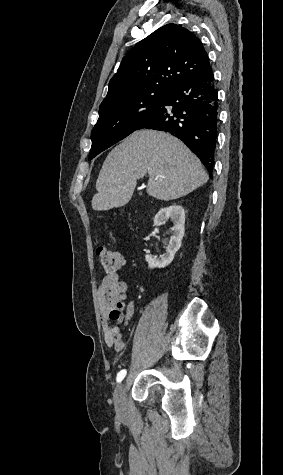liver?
I'll use <instances>...</instances> for the list:
<instances>
[{"label": "liver", "instance_id": "6515ba94", "mask_svg": "<svg viewBox=\"0 0 283 475\" xmlns=\"http://www.w3.org/2000/svg\"><path fill=\"white\" fill-rule=\"evenodd\" d=\"M146 174L147 194L165 202L187 196L208 180L199 158L183 142L158 130H137L108 154L96 182L93 210L126 206L137 180Z\"/></svg>", "mask_w": 283, "mask_h": 475}]
</instances>
